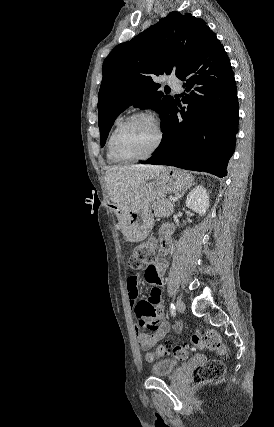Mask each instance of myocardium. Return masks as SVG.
<instances>
[{
  "instance_id": "f54148a6",
  "label": "myocardium",
  "mask_w": 274,
  "mask_h": 427,
  "mask_svg": "<svg viewBox=\"0 0 274 427\" xmlns=\"http://www.w3.org/2000/svg\"><path fill=\"white\" fill-rule=\"evenodd\" d=\"M140 118L147 119L155 125V127L157 128V131H158L157 142L154 145V147L145 155L137 156V157L123 156L116 148V142H115L116 136H117L118 132L124 126H126L130 122H132L136 119H140ZM164 141H165V132H164V129H163L161 123L158 121V119L151 113L141 111V112H137V113L130 115L129 117H127L125 120H123L121 123H119L116 126V128L113 130V132L111 133V136L109 138V147H110V150H111V152L115 158H117L121 162L129 163V162L143 161V160H147V159L153 157L161 149V147L164 144Z\"/></svg>"
}]
</instances>
